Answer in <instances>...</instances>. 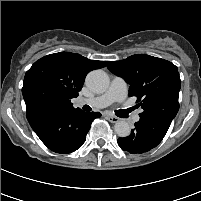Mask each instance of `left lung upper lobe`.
<instances>
[{"instance_id": "left-lung-upper-lobe-1", "label": "left lung upper lobe", "mask_w": 201, "mask_h": 201, "mask_svg": "<svg viewBox=\"0 0 201 201\" xmlns=\"http://www.w3.org/2000/svg\"><path fill=\"white\" fill-rule=\"evenodd\" d=\"M106 65L130 84L129 95L137 97V107L143 109L140 118H175L181 80L173 63L138 54L121 61H106Z\"/></svg>"}]
</instances>
